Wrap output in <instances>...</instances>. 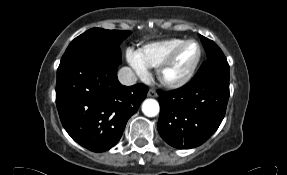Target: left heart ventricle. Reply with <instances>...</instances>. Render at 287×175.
Listing matches in <instances>:
<instances>
[{
	"label": "left heart ventricle",
	"instance_id": "b2bd125f",
	"mask_svg": "<svg viewBox=\"0 0 287 175\" xmlns=\"http://www.w3.org/2000/svg\"><path fill=\"white\" fill-rule=\"evenodd\" d=\"M198 55V47L194 43L187 44L177 55L166 76L174 79L184 75L194 64Z\"/></svg>",
	"mask_w": 287,
	"mask_h": 175
}]
</instances>
